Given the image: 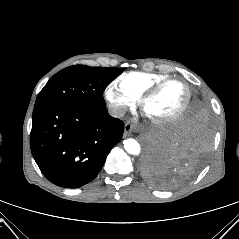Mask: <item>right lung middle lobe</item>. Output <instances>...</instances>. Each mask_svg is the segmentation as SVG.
<instances>
[{
    "label": "right lung middle lobe",
    "mask_w": 239,
    "mask_h": 239,
    "mask_svg": "<svg viewBox=\"0 0 239 239\" xmlns=\"http://www.w3.org/2000/svg\"><path fill=\"white\" fill-rule=\"evenodd\" d=\"M121 73L122 70L115 67H67L47 82L34 108L58 104L105 107L103 92Z\"/></svg>",
    "instance_id": "1"
}]
</instances>
